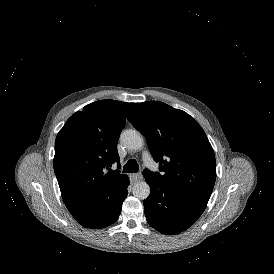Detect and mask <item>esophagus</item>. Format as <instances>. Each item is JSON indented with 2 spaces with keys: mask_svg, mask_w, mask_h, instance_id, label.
Listing matches in <instances>:
<instances>
[{
  "mask_svg": "<svg viewBox=\"0 0 274 274\" xmlns=\"http://www.w3.org/2000/svg\"><path fill=\"white\" fill-rule=\"evenodd\" d=\"M129 179L132 184L139 182L143 179V176L141 173H131L129 174Z\"/></svg>",
  "mask_w": 274,
  "mask_h": 274,
  "instance_id": "34e87169",
  "label": "esophagus"
}]
</instances>
